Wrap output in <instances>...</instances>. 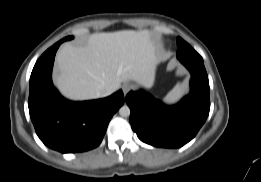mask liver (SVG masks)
I'll return each mask as SVG.
<instances>
[{"label": "liver", "instance_id": "obj_1", "mask_svg": "<svg viewBox=\"0 0 261 182\" xmlns=\"http://www.w3.org/2000/svg\"><path fill=\"white\" fill-rule=\"evenodd\" d=\"M157 45L148 30L95 33L83 47L64 44L56 55L55 84L73 100L102 97L122 82L135 81L151 86L155 75Z\"/></svg>", "mask_w": 261, "mask_h": 182}]
</instances>
